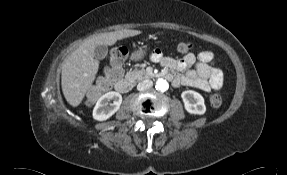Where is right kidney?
I'll return each mask as SVG.
<instances>
[{"label":"right kidney","instance_id":"1","mask_svg":"<svg viewBox=\"0 0 287 175\" xmlns=\"http://www.w3.org/2000/svg\"><path fill=\"white\" fill-rule=\"evenodd\" d=\"M121 103L122 96L118 92L105 93L98 99L93 109V118L98 121L107 120L118 111Z\"/></svg>","mask_w":287,"mask_h":175}]
</instances>
